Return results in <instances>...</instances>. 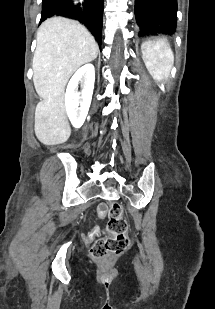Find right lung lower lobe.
I'll return each instance as SVG.
<instances>
[{"label":"right lung lower lobe","mask_w":215,"mask_h":309,"mask_svg":"<svg viewBox=\"0 0 215 309\" xmlns=\"http://www.w3.org/2000/svg\"><path fill=\"white\" fill-rule=\"evenodd\" d=\"M104 0H42L40 24L47 18L63 16L78 20L101 46Z\"/></svg>","instance_id":"obj_1"}]
</instances>
